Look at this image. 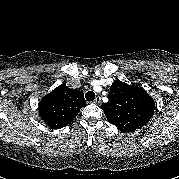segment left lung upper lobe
<instances>
[{
  "label": "left lung upper lobe",
  "mask_w": 179,
  "mask_h": 179,
  "mask_svg": "<svg viewBox=\"0 0 179 179\" xmlns=\"http://www.w3.org/2000/svg\"><path fill=\"white\" fill-rule=\"evenodd\" d=\"M109 101L101 105L108 122L123 133L134 132L146 125L153 116L154 100L137 86L119 80L112 83Z\"/></svg>",
  "instance_id": "1"
}]
</instances>
